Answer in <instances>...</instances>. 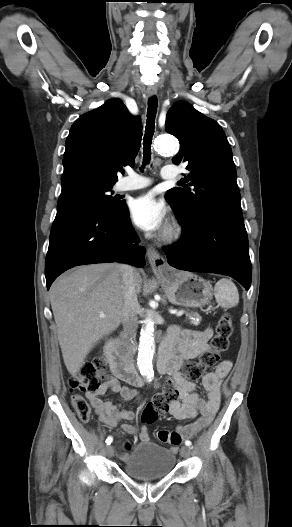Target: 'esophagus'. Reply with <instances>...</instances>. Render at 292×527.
Returning a JSON list of instances; mask_svg holds the SVG:
<instances>
[{"label": "esophagus", "instance_id": "esophagus-1", "mask_svg": "<svg viewBox=\"0 0 292 527\" xmlns=\"http://www.w3.org/2000/svg\"><path fill=\"white\" fill-rule=\"evenodd\" d=\"M154 95H156L155 90H148L146 92V98L153 97ZM147 257L149 264L154 272H161L166 268L167 263L165 259L158 253L155 248L149 247L147 249Z\"/></svg>", "mask_w": 292, "mask_h": 527}]
</instances>
